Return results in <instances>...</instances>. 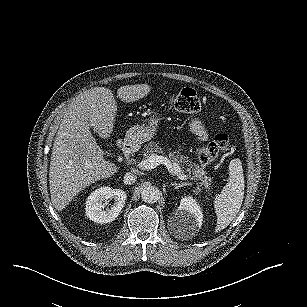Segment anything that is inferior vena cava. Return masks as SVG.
I'll return each instance as SVG.
<instances>
[{
    "label": "inferior vena cava",
    "instance_id": "inferior-vena-cava-1",
    "mask_svg": "<svg viewBox=\"0 0 307 307\" xmlns=\"http://www.w3.org/2000/svg\"><path fill=\"white\" fill-rule=\"evenodd\" d=\"M136 180H137V176L133 173L128 172L124 175V184L126 185L134 184Z\"/></svg>",
    "mask_w": 307,
    "mask_h": 307
}]
</instances>
